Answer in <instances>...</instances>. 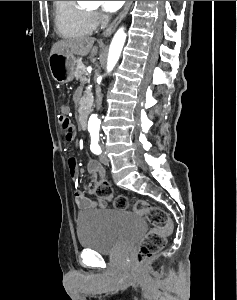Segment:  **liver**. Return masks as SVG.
Listing matches in <instances>:
<instances>
[{
    "label": "liver",
    "instance_id": "6515ba94",
    "mask_svg": "<svg viewBox=\"0 0 237 300\" xmlns=\"http://www.w3.org/2000/svg\"><path fill=\"white\" fill-rule=\"evenodd\" d=\"M94 41L93 37H83V39H76V41H57L51 49V55L53 53H59V55L70 53V55L85 57L88 53H92V57H94L98 53L97 47H93Z\"/></svg>",
    "mask_w": 237,
    "mask_h": 300
}]
</instances>
